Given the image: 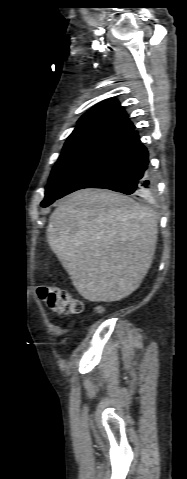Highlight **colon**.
<instances>
[{
	"mask_svg": "<svg viewBox=\"0 0 187 479\" xmlns=\"http://www.w3.org/2000/svg\"><path fill=\"white\" fill-rule=\"evenodd\" d=\"M37 294L49 308L62 315H79L83 311V302L74 298L66 289L42 285L38 287Z\"/></svg>",
	"mask_w": 187,
	"mask_h": 479,
	"instance_id": "obj_1",
	"label": "colon"
}]
</instances>
